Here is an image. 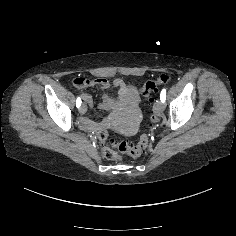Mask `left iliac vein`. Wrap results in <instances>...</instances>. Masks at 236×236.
<instances>
[{
    "mask_svg": "<svg viewBox=\"0 0 236 236\" xmlns=\"http://www.w3.org/2000/svg\"><path fill=\"white\" fill-rule=\"evenodd\" d=\"M154 109H155L156 112H163L164 109H165V106H164V104H163L162 101H158V102L155 104Z\"/></svg>",
    "mask_w": 236,
    "mask_h": 236,
    "instance_id": "obj_1",
    "label": "left iliac vein"
}]
</instances>
